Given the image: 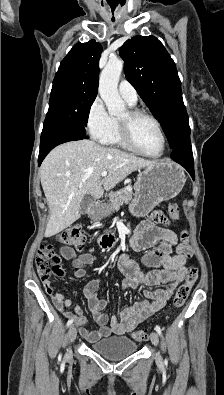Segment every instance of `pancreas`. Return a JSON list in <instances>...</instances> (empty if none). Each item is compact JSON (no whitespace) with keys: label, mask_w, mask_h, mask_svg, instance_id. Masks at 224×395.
<instances>
[{"label":"pancreas","mask_w":224,"mask_h":395,"mask_svg":"<svg viewBox=\"0 0 224 395\" xmlns=\"http://www.w3.org/2000/svg\"><path fill=\"white\" fill-rule=\"evenodd\" d=\"M133 200V192L131 189L123 188L110 195L109 201L105 204V209L108 213H113L123 206V204H128Z\"/></svg>","instance_id":"cf45deb5"}]
</instances>
